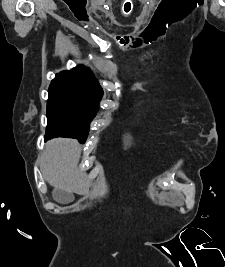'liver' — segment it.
I'll return each mask as SVG.
<instances>
[{"label":"liver","mask_w":225,"mask_h":267,"mask_svg":"<svg viewBox=\"0 0 225 267\" xmlns=\"http://www.w3.org/2000/svg\"><path fill=\"white\" fill-rule=\"evenodd\" d=\"M80 154L81 147L76 140L56 138L49 141L40 158L45 180L69 193L88 194L90 182L87 174L77 170Z\"/></svg>","instance_id":"6515ba94"}]
</instances>
